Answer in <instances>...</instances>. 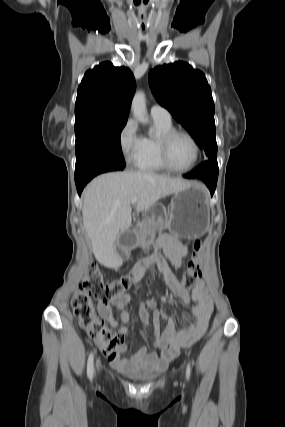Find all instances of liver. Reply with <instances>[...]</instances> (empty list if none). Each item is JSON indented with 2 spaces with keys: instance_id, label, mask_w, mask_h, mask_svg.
Wrapping results in <instances>:
<instances>
[{
  "instance_id": "1",
  "label": "liver",
  "mask_w": 285,
  "mask_h": 427,
  "mask_svg": "<svg viewBox=\"0 0 285 427\" xmlns=\"http://www.w3.org/2000/svg\"><path fill=\"white\" fill-rule=\"evenodd\" d=\"M190 184L180 178L138 171L107 173L93 179L83 192L82 215L97 261L105 266L117 262L114 242L131 225L133 197H138L136 209L141 212Z\"/></svg>"
}]
</instances>
